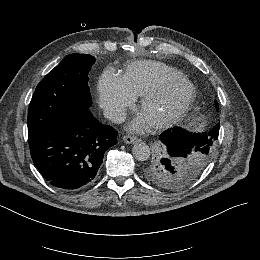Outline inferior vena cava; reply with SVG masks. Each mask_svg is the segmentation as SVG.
<instances>
[{
    "label": "inferior vena cava",
    "instance_id": "602c4592",
    "mask_svg": "<svg viewBox=\"0 0 260 260\" xmlns=\"http://www.w3.org/2000/svg\"><path fill=\"white\" fill-rule=\"evenodd\" d=\"M104 115L110 120L118 123L123 121L122 112L117 108H108L104 110Z\"/></svg>",
    "mask_w": 260,
    "mask_h": 260
}]
</instances>
